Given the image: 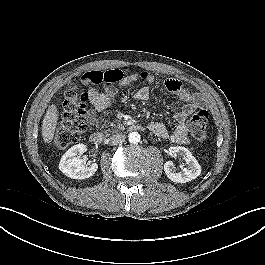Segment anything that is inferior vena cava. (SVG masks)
<instances>
[{"instance_id":"1","label":"inferior vena cava","mask_w":265,"mask_h":265,"mask_svg":"<svg viewBox=\"0 0 265 265\" xmlns=\"http://www.w3.org/2000/svg\"><path fill=\"white\" fill-rule=\"evenodd\" d=\"M125 141V135L124 134H114L109 138V143L111 145H117V144H121Z\"/></svg>"}]
</instances>
